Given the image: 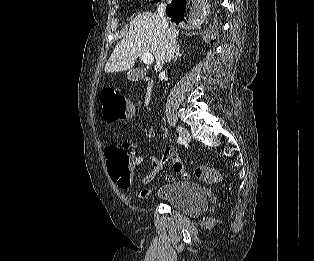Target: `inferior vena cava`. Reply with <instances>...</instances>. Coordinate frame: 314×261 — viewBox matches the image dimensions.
<instances>
[{
    "mask_svg": "<svg viewBox=\"0 0 314 261\" xmlns=\"http://www.w3.org/2000/svg\"><path fill=\"white\" fill-rule=\"evenodd\" d=\"M165 5L161 4L159 5L157 11L158 15L162 19V24L165 31V53H164V62H171V60L174 58V55L176 53V39L173 34V30L169 27L168 22L166 21L164 14H165Z\"/></svg>",
    "mask_w": 314,
    "mask_h": 261,
    "instance_id": "inferior-vena-cava-1",
    "label": "inferior vena cava"
}]
</instances>
